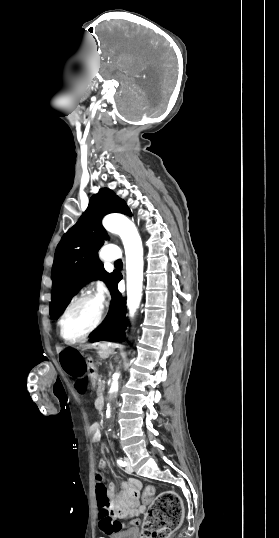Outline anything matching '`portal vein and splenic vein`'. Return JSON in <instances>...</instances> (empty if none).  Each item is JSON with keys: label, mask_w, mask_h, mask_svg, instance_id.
Listing matches in <instances>:
<instances>
[{"label": "portal vein and splenic vein", "mask_w": 279, "mask_h": 538, "mask_svg": "<svg viewBox=\"0 0 279 538\" xmlns=\"http://www.w3.org/2000/svg\"><path fill=\"white\" fill-rule=\"evenodd\" d=\"M100 383H106V380H100Z\"/></svg>", "instance_id": "1"}]
</instances>
